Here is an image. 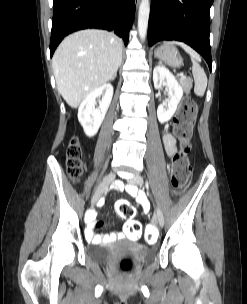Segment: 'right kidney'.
Listing matches in <instances>:
<instances>
[{"instance_id":"1","label":"right kidney","mask_w":247,"mask_h":304,"mask_svg":"<svg viewBox=\"0 0 247 304\" xmlns=\"http://www.w3.org/2000/svg\"><path fill=\"white\" fill-rule=\"evenodd\" d=\"M112 97L113 86L110 83H105L91 91L79 106L78 120L88 137H93L98 132ZM97 98H99V107H95Z\"/></svg>"}]
</instances>
